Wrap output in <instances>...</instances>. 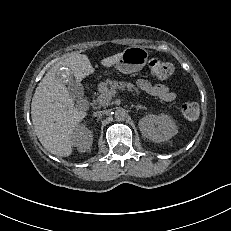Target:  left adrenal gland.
Wrapping results in <instances>:
<instances>
[{
    "mask_svg": "<svg viewBox=\"0 0 231 231\" xmlns=\"http://www.w3.org/2000/svg\"><path fill=\"white\" fill-rule=\"evenodd\" d=\"M136 110H139V109H146V107L142 106V105H137L135 106Z\"/></svg>",
    "mask_w": 231,
    "mask_h": 231,
    "instance_id": "obj_1",
    "label": "left adrenal gland"
}]
</instances>
